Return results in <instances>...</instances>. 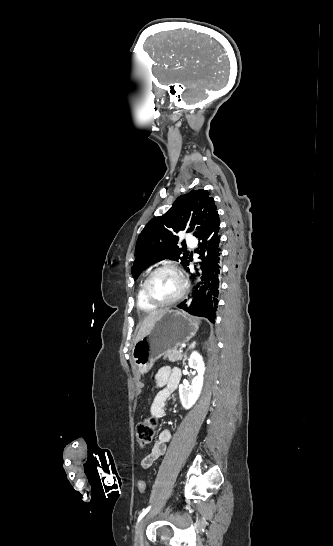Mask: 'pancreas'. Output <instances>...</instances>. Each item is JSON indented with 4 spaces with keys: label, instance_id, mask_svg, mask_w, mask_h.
<instances>
[{
    "label": "pancreas",
    "instance_id": "cf45deb5",
    "mask_svg": "<svg viewBox=\"0 0 333 546\" xmlns=\"http://www.w3.org/2000/svg\"><path fill=\"white\" fill-rule=\"evenodd\" d=\"M183 357V354L179 352L177 349H173L172 351H169L164 354V359H168L170 362H177L181 361Z\"/></svg>",
    "mask_w": 333,
    "mask_h": 546
}]
</instances>
